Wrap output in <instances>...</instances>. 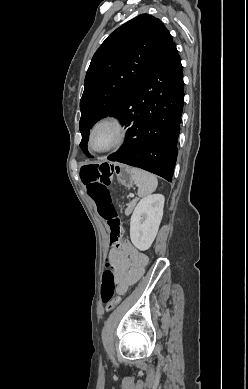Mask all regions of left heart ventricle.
<instances>
[{"mask_svg": "<svg viewBox=\"0 0 248 389\" xmlns=\"http://www.w3.org/2000/svg\"><path fill=\"white\" fill-rule=\"evenodd\" d=\"M112 138V131L109 128H104L99 131L97 138H96V146L102 147L108 144V142Z\"/></svg>", "mask_w": 248, "mask_h": 389, "instance_id": "obj_1", "label": "left heart ventricle"}]
</instances>
